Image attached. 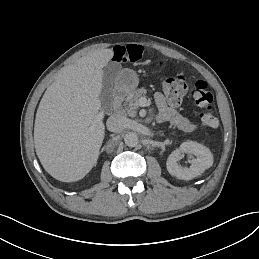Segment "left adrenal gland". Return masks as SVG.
Returning <instances> with one entry per match:
<instances>
[{"mask_svg":"<svg viewBox=\"0 0 259 259\" xmlns=\"http://www.w3.org/2000/svg\"><path fill=\"white\" fill-rule=\"evenodd\" d=\"M157 134H158L159 136H164V134L161 133V131H159Z\"/></svg>","mask_w":259,"mask_h":259,"instance_id":"1","label":"left adrenal gland"}]
</instances>
